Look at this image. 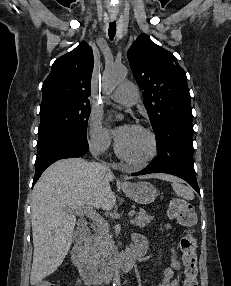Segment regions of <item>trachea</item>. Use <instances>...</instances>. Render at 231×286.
<instances>
[{"instance_id":"3493384b","label":"trachea","mask_w":231,"mask_h":286,"mask_svg":"<svg viewBox=\"0 0 231 286\" xmlns=\"http://www.w3.org/2000/svg\"><path fill=\"white\" fill-rule=\"evenodd\" d=\"M115 33H116V22L113 21L109 24V30H108L109 38L111 40L115 37Z\"/></svg>"}]
</instances>
